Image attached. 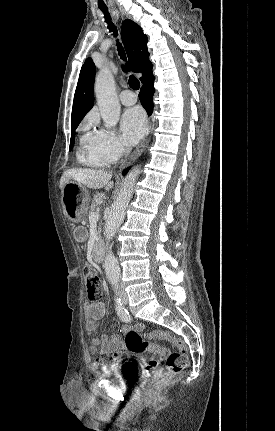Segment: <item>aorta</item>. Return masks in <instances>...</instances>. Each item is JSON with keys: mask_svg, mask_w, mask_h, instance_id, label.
Masks as SVG:
<instances>
[{"mask_svg": "<svg viewBox=\"0 0 275 431\" xmlns=\"http://www.w3.org/2000/svg\"><path fill=\"white\" fill-rule=\"evenodd\" d=\"M95 93L101 117L107 127L115 126L120 118V103L115 91L112 73L108 68L102 69L96 77ZM140 170H131L125 177L122 187L114 200L105 222L106 240H112L125 217L126 207L132 197L134 186ZM104 269L108 280L116 283L120 277V267L117 258L109 251L104 260Z\"/></svg>", "mask_w": 275, "mask_h": 431, "instance_id": "aorta-1", "label": "aorta"}]
</instances>
